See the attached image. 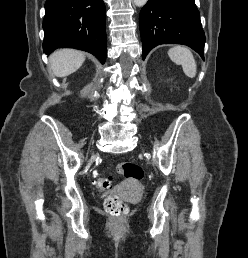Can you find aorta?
<instances>
[{
	"instance_id": "obj_1",
	"label": "aorta",
	"mask_w": 248,
	"mask_h": 258,
	"mask_svg": "<svg viewBox=\"0 0 248 258\" xmlns=\"http://www.w3.org/2000/svg\"><path fill=\"white\" fill-rule=\"evenodd\" d=\"M148 0H133L134 5L141 7L147 3Z\"/></svg>"
}]
</instances>
